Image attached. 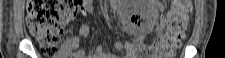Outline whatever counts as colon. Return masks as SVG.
I'll use <instances>...</instances> for the list:
<instances>
[{
    "label": "colon",
    "mask_w": 225,
    "mask_h": 58,
    "mask_svg": "<svg viewBox=\"0 0 225 58\" xmlns=\"http://www.w3.org/2000/svg\"><path fill=\"white\" fill-rule=\"evenodd\" d=\"M78 2L74 0L28 1L27 26L44 54L55 56L64 53V21L75 17ZM190 11V1L173 0L167 14L166 34L154 46H141L137 51V57L151 58L156 53L171 57L185 37ZM65 56L69 55L65 54Z\"/></svg>",
    "instance_id": "1"
}]
</instances>
